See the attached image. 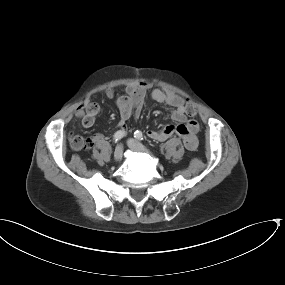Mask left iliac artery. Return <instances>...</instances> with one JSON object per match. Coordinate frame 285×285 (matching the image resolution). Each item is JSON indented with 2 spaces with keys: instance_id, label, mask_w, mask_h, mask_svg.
Instances as JSON below:
<instances>
[{
  "instance_id": "obj_1",
  "label": "left iliac artery",
  "mask_w": 285,
  "mask_h": 285,
  "mask_svg": "<svg viewBox=\"0 0 285 285\" xmlns=\"http://www.w3.org/2000/svg\"><path fill=\"white\" fill-rule=\"evenodd\" d=\"M134 137L138 140H142L143 139V135H142V132L141 131H135L134 132Z\"/></svg>"
}]
</instances>
